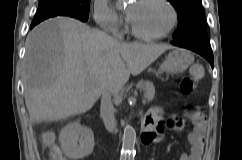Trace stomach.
<instances>
[{
	"mask_svg": "<svg viewBox=\"0 0 242 160\" xmlns=\"http://www.w3.org/2000/svg\"><path fill=\"white\" fill-rule=\"evenodd\" d=\"M193 61L194 57L190 51L176 48L166 57L157 74L165 71L171 73L184 72L193 63Z\"/></svg>",
	"mask_w": 242,
	"mask_h": 160,
	"instance_id": "stomach-1",
	"label": "stomach"
}]
</instances>
